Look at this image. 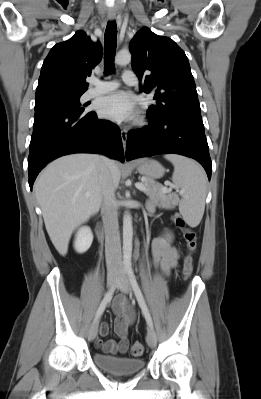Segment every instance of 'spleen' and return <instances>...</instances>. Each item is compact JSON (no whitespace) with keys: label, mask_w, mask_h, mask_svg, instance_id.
Here are the masks:
<instances>
[{"label":"spleen","mask_w":261,"mask_h":399,"mask_svg":"<svg viewBox=\"0 0 261 399\" xmlns=\"http://www.w3.org/2000/svg\"><path fill=\"white\" fill-rule=\"evenodd\" d=\"M165 158L174 165L172 181L182 194L179 211L186 222L195 227L200 223L205 209L207 192L205 172L200 165L187 157L168 154Z\"/></svg>","instance_id":"spleen-1"}]
</instances>
